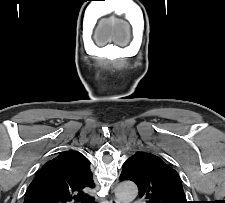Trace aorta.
<instances>
[{
  "instance_id": "aorta-1",
  "label": "aorta",
  "mask_w": 225,
  "mask_h": 203,
  "mask_svg": "<svg viewBox=\"0 0 225 203\" xmlns=\"http://www.w3.org/2000/svg\"><path fill=\"white\" fill-rule=\"evenodd\" d=\"M138 194V188L135 183L125 181L117 185L115 195L120 203L132 202Z\"/></svg>"
}]
</instances>
